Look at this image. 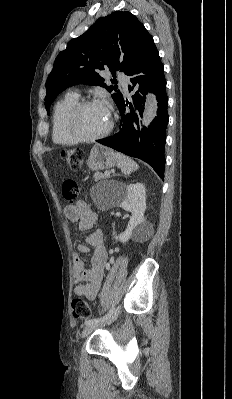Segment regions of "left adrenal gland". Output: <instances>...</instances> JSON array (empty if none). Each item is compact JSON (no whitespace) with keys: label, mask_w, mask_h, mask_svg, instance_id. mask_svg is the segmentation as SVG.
Wrapping results in <instances>:
<instances>
[{"label":"left adrenal gland","mask_w":232,"mask_h":399,"mask_svg":"<svg viewBox=\"0 0 232 399\" xmlns=\"http://www.w3.org/2000/svg\"><path fill=\"white\" fill-rule=\"evenodd\" d=\"M115 176H119V174H115Z\"/></svg>","instance_id":"left-adrenal-gland-1"}]
</instances>
